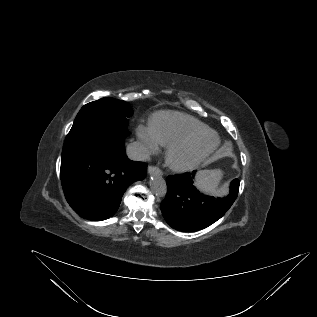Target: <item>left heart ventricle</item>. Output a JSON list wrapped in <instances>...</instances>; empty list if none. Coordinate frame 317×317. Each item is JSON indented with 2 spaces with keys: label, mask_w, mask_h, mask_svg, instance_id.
Segmentation results:
<instances>
[{
  "label": "left heart ventricle",
  "mask_w": 317,
  "mask_h": 317,
  "mask_svg": "<svg viewBox=\"0 0 317 317\" xmlns=\"http://www.w3.org/2000/svg\"><path fill=\"white\" fill-rule=\"evenodd\" d=\"M211 141V138H206L198 143H195V144H191L187 147H185L184 149L178 151L176 154H175V159L177 161H183V160H187L188 158H190L194 153L195 151L201 147V146H204V145H207L209 142Z\"/></svg>",
  "instance_id": "1"
}]
</instances>
